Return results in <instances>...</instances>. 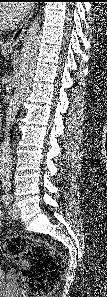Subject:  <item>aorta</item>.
<instances>
[{"mask_svg":"<svg viewBox=\"0 0 107 297\" xmlns=\"http://www.w3.org/2000/svg\"><path fill=\"white\" fill-rule=\"evenodd\" d=\"M41 23L40 16L30 24L23 39V45L18 61L16 86L6 110L3 142L0 147V167L8 168L11 164L10 129L16 120L20 107L26 98L34 76V69L40 46Z\"/></svg>","mask_w":107,"mask_h":297,"instance_id":"obj_1","label":"aorta"}]
</instances>
